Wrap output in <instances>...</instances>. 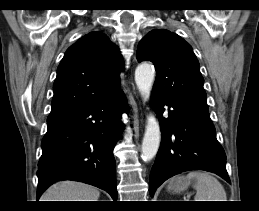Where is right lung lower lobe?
<instances>
[{
    "label": "right lung lower lobe",
    "mask_w": 259,
    "mask_h": 211,
    "mask_svg": "<svg viewBox=\"0 0 259 211\" xmlns=\"http://www.w3.org/2000/svg\"><path fill=\"white\" fill-rule=\"evenodd\" d=\"M127 110L123 91L89 105L50 113L38 163L37 198L59 180L85 182L117 199L113 148Z\"/></svg>",
    "instance_id": "obj_1"
}]
</instances>
